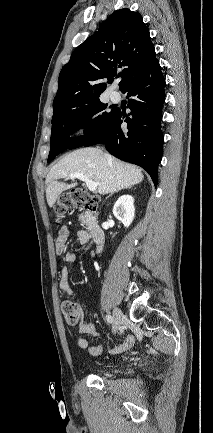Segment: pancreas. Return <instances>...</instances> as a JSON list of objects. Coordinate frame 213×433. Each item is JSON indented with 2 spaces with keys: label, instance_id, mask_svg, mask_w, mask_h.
Segmentation results:
<instances>
[{
  "label": "pancreas",
  "instance_id": "pancreas-1",
  "mask_svg": "<svg viewBox=\"0 0 213 433\" xmlns=\"http://www.w3.org/2000/svg\"><path fill=\"white\" fill-rule=\"evenodd\" d=\"M91 217L90 212H85L79 215V220L82 225H86L88 222V218Z\"/></svg>",
  "mask_w": 213,
  "mask_h": 433
}]
</instances>
